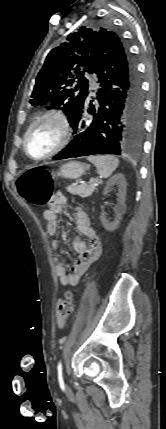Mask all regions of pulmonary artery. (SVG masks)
Returning <instances> with one entry per match:
<instances>
[{
    "mask_svg": "<svg viewBox=\"0 0 166 429\" xmlns=\"http://www.w3.org/2000/svg\"><path fill=\"white\" fill-rule=\"evenodd\" d=\"M95 86H96V82H95V81H92V82H91V88L93 89V88H95Z\"/></svg>",
    "mask_w": 166,
    "mask_h": 429,
    "instance_id": "pulmonary-artery-1",
    "label": "pulmonary artery"
}]
</instances>
